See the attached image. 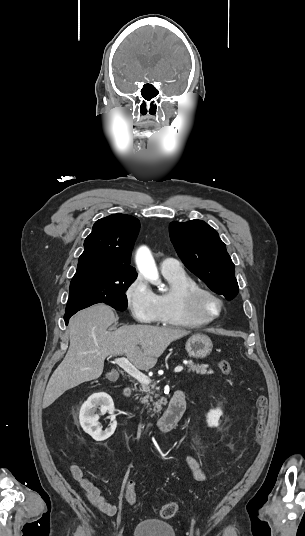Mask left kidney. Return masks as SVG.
I'll return each instance as SVG.
<instances>
[{"instance_id":"obj_1","label":"left kidney","mask_w":305,"mask_h":536,"mask_svg":"<svg viewBox=\"0 0 305 536\" xmlns=\"http://www.w3.org/2000/svg\"><path fill=\"white\" fill-rule=\"evenodd\" d=\"M220 416H222V412L219 410V408H216V410H210L209 414H207L208 426H210V428H216V426H219Z\"/></svg>"}]
</instances>
